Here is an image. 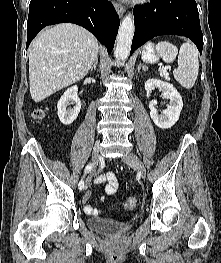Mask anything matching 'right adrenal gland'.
I'll list each match as a JSON object with an SVG mask.
<instances>
[{"instance_id": "1", "label": "right adrenal gland", "mask_w": 221, "mask_h": 263, "mask_svg": "<svg viewBox=\"0 0 221 263\" xmlns=\"http://www.w3.org/2000/svg\"><path fill=\"white\" fill-rule=\"evenodd\" d=\"M97 64H98V59L95 60V62L93 63L92 67L90 68L91 71L96 70V67H97Z\"/></svg>"}]
</instances>
